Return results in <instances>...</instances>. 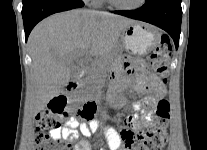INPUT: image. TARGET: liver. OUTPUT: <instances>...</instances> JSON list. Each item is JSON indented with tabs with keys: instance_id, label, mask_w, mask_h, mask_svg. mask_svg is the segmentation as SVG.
Instances as JSON below:
<instances>
[{
	"instance_id": "6515ba94",
	"label": "liver",
	"mask_w": 207,
	"mask_h": 150,
	"mask_svg": "<svg viewBox=\"0 0 207 150\" xmlns=\"http://www.w3.org/2000/svg\"><path fill=\"white\" fill-rule=\"evenodd\" d=\"M134 22L94 10H70L41 21L28 39L32 58L27 94L30 114L35 116L63 92L72 75L70 65L76 57L109 55L124 28Z\"/></svg>"
}]
</instances>
